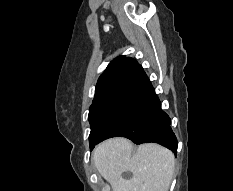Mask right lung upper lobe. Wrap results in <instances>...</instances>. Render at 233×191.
Listing matches in <instances>:
<instances>
[{
    "mask_svg": "<svg viewBox=\"0 0 233 191\" xmlns=\"http://www.w3.org/2000/svg\"><path fill=\"white\" fill-rule=\"evenodd\" d=\"M144 73L134 59L119 56L112 60L98 79L94 102L125 93Z\"/></svg>",
    "mask_w": 233,
    "mask_h": 191,
    "instance_id": "obj_1",
    "label": "right lung upper lobe"
}]
</instances>
